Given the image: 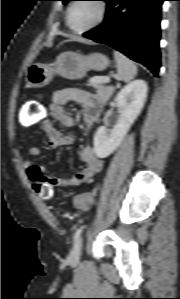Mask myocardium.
I'll use <instances>...</instances> for the list:
<instances>
[{"instance_id":"myocardium-1","label":"myocardium","mask_w":180,"mask_h":299,"mask_svg":"<svg viewBox=\"0 0 180 299\" xmlns=\"http://www.w3.org/2000/svg\"><path fill=\"white\" fill-rule=\"evenodd\" d=\"M79 0H73V2L70 3L67 11H66V16H65V21H66V25L68 27V29L76 34H83L85 32H88L98 26H100L104 20L106 19L107 16V12H108V6L106 4V2L104 0H91L93 2H95L97 8H98V15L95 19V21H93L91 24H89L88 26L82 28V29H75L71 26L70 24V13L72 8L74 7V5L76 3H78Z\"/></svg>"}]
</instances>
